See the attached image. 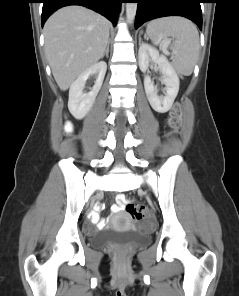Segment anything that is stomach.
Listing matches in <instances>:
<instances>
[{
  "label": "stomach",
  "instance_id": "stomach-1",
  "mask_svg": "<svg viewBox=\"0 0 239 296\" xmlns=\"http://www.w3.org/2000/svg\"><path fill=\"white\" fill-rule=\"evenodd\" d=\"M156 43L160 41V35L158 34L156 37L153 38Z\"/></svg>",
  "mask_w": 239,
  "mask_h": 296
}]
</instances>
